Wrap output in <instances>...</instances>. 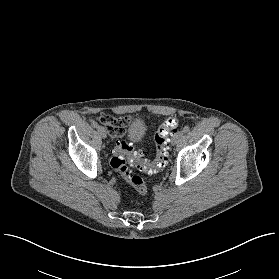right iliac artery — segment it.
<instances>
[{"label":"right iliac artery","mask_w":279,"mask_h":279,"mask_svg":"<svg viewBox=\"0 0 279 279\" xmlns=\"http://www.w3.org/2000/svg\"><path fill=\"white\" fill-rule=\"evenodd\" d=\"M91 125H92L93 128H98L99 127V125L96 121H92Z\"/></svg>","instance_id":"obj_1"}]
</instances>
